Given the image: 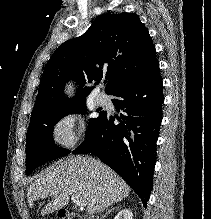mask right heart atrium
Returning a JSON list of instances; mask_svg holds the SVG:
<instances>
[{
    "instance_id": "obj_1",
    "label": "right heart atrium",
    "mask_w": 211,
    "mask_h": 219,
    "mask_svg": "<svg viewBox=\"0 0 211 219\" xmlns=\"http://www.w3.org/2000/svg\"><path fill=\"white\" fill-rule=\"evenodd\" d=\"M50 136L58 147L73 150L86 137L85 121L73 112L63 113L53 122Z\"/></svg>"
}]
</instances>
